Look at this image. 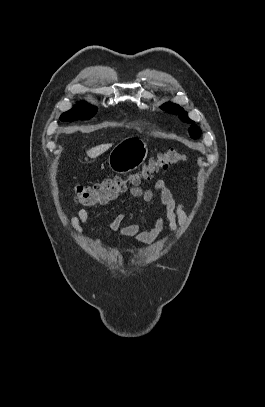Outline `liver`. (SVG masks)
<instances>
[{"label": "liver", "instance_id": "6515ba94", "mask_svg": "<svg viewBox=\"0 0 265 407\" xmlns=\"http://www.w3.org/2000/svg\"><path fill=\"white\" fill-rule=\"evenodd\" d=\"M112 146V144H101L98 145L90 150L87 151V155L90 158H96L99 155L103 154L105 151H107L110 147Z\"/></svg>", "mask_w": 265, "mask_h": 407}]
</instances>
